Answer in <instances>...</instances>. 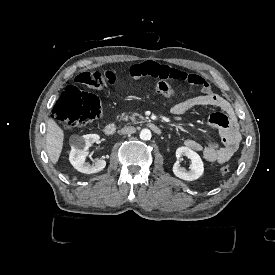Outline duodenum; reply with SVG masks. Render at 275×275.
Masks as SVG:
<instances>
[{
  "mask_svg": "<svg viewBox=\"0 0 275 275\" xmlns=\"http://www.w3.org/2000/svg\"><path fill=\"white\" fill-rule=\"evenodd\" d=\"M148 126L154 134H156V135H161L162 134V129L160 128V126H158L154 123H150ZM116 130H117V127L113 123H109L104 127V133L107 136L114 135L116 133Z\"/></svg>",
  "mask_w": 275,
  "mask_h": 275,
  "instance_id": "obj_1",
  "label": "duodenum"
}]
</instances>
